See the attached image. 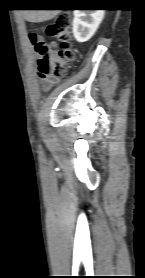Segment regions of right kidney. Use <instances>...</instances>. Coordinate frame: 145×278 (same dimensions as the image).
I'll use <instances>...</instances> for the list:
<instances>
[{"instance_id":"right-kidney-1","label":"right kidney","mask_w":145,"mask_h":278,"mask_svg":"<svg viewBox=\"0 0 145 278\" xmlns=\"http://www.w3.org/2000/svg\"><path fill=\"white\" fill-rule=\"evenodd\" d=\"M104 12V10H74V38L80 43L88 41L98 29Z\"/></svg>"}]
</instances>
